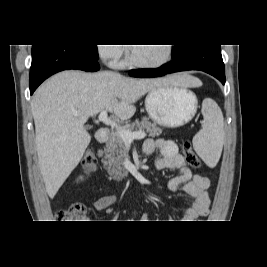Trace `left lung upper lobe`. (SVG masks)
Segmentation results:
<instances>
[{
	"label": "left lung upper lobe",
	"mask_w": 267,
	"mask_h": 267,
	"mask_svg": "<svg viewBox=\"0 0 267 267\" xmlns=\"http://www.w3.org/2000/svg\"><path fill=\"white\" fill-rule=\"evenodd\" d=\"M189 45H175L174 49H172V52H178L184 48H186Z\"/></svg>",
	"instance_id": "left-lung-upper-lobe-1"
}]
</instances>
